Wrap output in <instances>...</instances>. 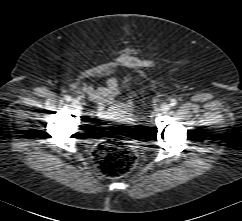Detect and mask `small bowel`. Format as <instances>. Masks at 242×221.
Segmentation results:
<instances>
[{"mask_svg":"<svg viewBox=\"0 0 242 221\" xmlns=\"http://www.w3.org/2000/svg\"><path fill=\"white\" fill-rule=\"evenodd\" d=\"M119 83V78L110 77L104 87L95 88L90 84H84L82 86V91L85 95L97 104V109L94 113L97 120H107L113 113L123 110L115 103Z\"/></svg>","mask_w":242,"mask_h":221,"instance_id":"small-bowel-1","label":"small bowel"}]
</instances>
